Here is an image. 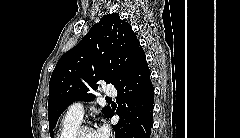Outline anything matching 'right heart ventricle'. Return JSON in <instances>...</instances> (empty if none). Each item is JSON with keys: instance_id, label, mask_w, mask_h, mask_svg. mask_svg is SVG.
I'll use <instances>...</instances> for the list:
<instances>
[{"instance_id": "e07e8e85", "label": "right heart ventricle", "mask_w": 240, "mask_h": 138, "mask_svg": "<svg viewBox=\"0 0 240 138\" xmlns=\"http://www.w3.org/2000/svg\"><path fill=\"white\" fill-rule=\"evenodd\" d=\"M80 123V120L66 116L60 125L57 138H70Z\"/></svg>"}]
</instances>
